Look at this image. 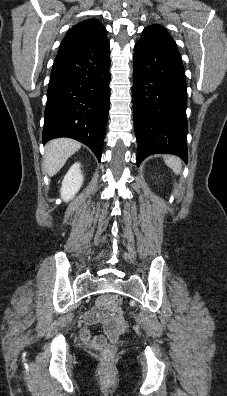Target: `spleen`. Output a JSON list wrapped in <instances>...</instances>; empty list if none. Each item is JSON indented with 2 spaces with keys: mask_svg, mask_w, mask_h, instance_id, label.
<instances>
[{
  "mask_svg": "<svg viewBox=\"0 0 227 396\" xmlns=\"http://www.w3.org/2000/svg\"><path fill=\"white\" fill-rule=\"evenodd\" d=\"M164 161L169 166L175 174H179L181 172L182 164L181 160L176 156H165Z\"/></svg>",
  "mask_w": 227,
  "mask_h": 396,
  "instance_id": "3e777b00",
  "label": "spleen"
}]
</instances>
